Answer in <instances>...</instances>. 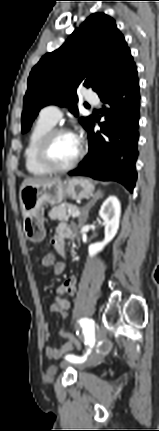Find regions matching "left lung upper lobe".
I'll return each mask as SVG.
<instances>
[{"label":"left lung upper lobe","instance_id":"5c2ea615","mask_svg":"<svg viewBox=\"0 0 159 431\" xmlns=\"http://www.w3.org/2000/svg\"><path fill=\"white\" fill-rule=\"evenodd\" d=\"M133 63L129 48L115 21L104 13L92 14L57 50L47 53L28 78L24 97L22 132H27L41 108L56 104L78 115L76 90L91 87L98 95ZM92 116L81 118L85 129Z\"/></svg>","mask_w":159,"mask_h":431}]
</instances>
